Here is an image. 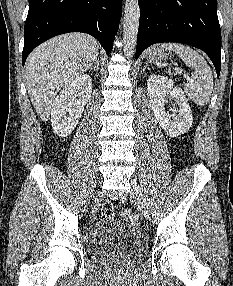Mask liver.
Wrapping results in <instances>:
<instances>
[{
	"instance_id": "6515ba94",
	"label": "liver",
	"mask_w": 233,
	"mask_h": 286,
	"mask_svg": "<svg viewBox=\"0 0 233 286\" xmlns=\"http://www.w3.org/2000/svg\"><path fill=\"white\" fill-rule=\"evenodd\" d=\"M98 42L90 35L68 33L38 46L26 61V84L31 102L43 120L50 116L60 89L93 66Z\"/></svg>"
}]
</instances>
